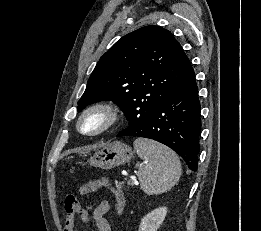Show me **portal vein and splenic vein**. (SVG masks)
<instances>
[{"instance_id":"portal-vein-and-splenic-vein-1","label":"portal vein and splenic vein","mask_w":261,"mask_h":231,"mask_svg":"<svg viewBox=\"0 0 261 231\" xmlns=\"http://www.w3.org/2000/svg\"><path fill=\"white\" fill-rule=\"evenodd\" d=\"M128 184H134V179L129 180V181H128Z\"/></svg>"}]
</instances>
